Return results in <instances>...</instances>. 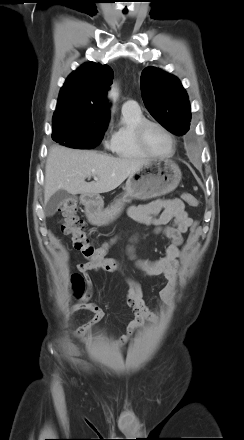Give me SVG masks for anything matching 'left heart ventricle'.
<instances>
[{"label":"left heart ventricle","instance_id":"obj_1","mask_svg":"<svg viewBox=\"0 0 244 440\" xmlns=\"http://www.w3.org/2000/svg\"><path fill=\"white\" fill-rule=\"evenodd\" d=\"M144 140L147 148L155 154H167L172 149L169 137L156 126L146 128Z\"/></svg>","mask_w":244,"mask_h":440}]
</instances>
